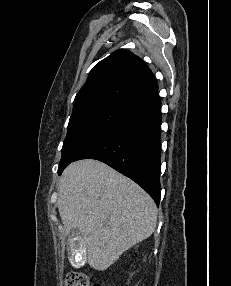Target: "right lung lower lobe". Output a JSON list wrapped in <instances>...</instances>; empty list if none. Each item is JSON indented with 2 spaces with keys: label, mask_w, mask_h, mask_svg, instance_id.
<instances>
[{
  "label": "right lung lower lobe",
  "mask_w": 231,
  "mask_h": 286,
  "mask_svg": "<svg viewBox=\"0 0 231 286\" xmlns=\"http://www.w3.org/2000/svg\"><path fill=\"white\" fill-rule=\"evenodd\" d=\"M157 91L158 88L132 108L130 117L90 143L73 161L97 159L108 164L140 185L159 205L161 102Z\"/></svg>",
  "instance_id": "98d812e1"
}]
</instances>
